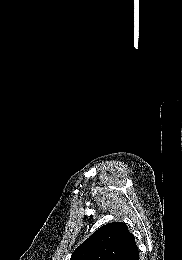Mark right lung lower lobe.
Masks as SVG:
<instances>
[{
    "instance_id": "98d812e1",
    "label": "right lung lower lobe",
    "mask_w": 182,
    "mask_h": 260,
    "mask_svg": "<svg viewBox=\"0 0 182 260\" xmlns=\"http://www.w3.org/2000/svg\"><path fill=\"white\" fill-rule=\"evenodd\" d=\"M135 260H139V255L136 256Z\"/></svg>"
}]
</instances>
